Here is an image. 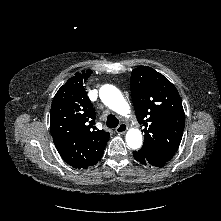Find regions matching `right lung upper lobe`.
I'll return each mask as SVG.
<instances>
[{
    "mask_svg": "<svg viewBox=\"0 0 221 221\" xmlns=\"http://www.w3.org/2000/svg\"><path fill=\"white\" fill-rule=\"evenodd\" d=\"M92 70L77 72L60 87L50 111L55 147L72 167L87 169L100 161L110 134L95 126V110L84 84Z\"/></svg>",
    "mask_w": 221,
    "mask_h": 221,
    "instance_id": "1",
    "label": "right lung upper lobe"
}]
</instances>
